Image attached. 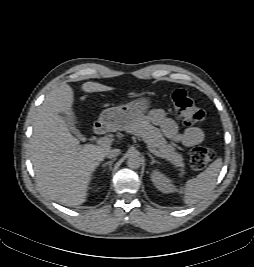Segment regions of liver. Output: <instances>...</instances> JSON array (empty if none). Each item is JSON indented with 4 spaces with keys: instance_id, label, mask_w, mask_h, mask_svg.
I'll return each mask as SVG.
<instances>
[{
    "instance_id": "liver-1",
    "label": "liver",
    "mask_w": 254,
    "mask_h": 267,
    "mask_svg": "<svg viewBox=\"0 0 254 267\" xmlns=\"http://www.w3.org/2000/svg\"><path fill=\"white\" fill-rule=\"evenodd\" d=\"M82 90L93 93L113 88L85 82ZM73 103L74 93L68 84L51 90L35 114L29 144L38 185L51 199L71 207L86 201L92 173L110 150L109 146L80 145L70 133L59 114L65 113L76 121Z\"/></svg>"
}]
</instances>
